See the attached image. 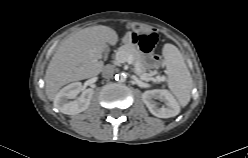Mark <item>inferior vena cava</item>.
I'll list each match as a JSON object with an SVG mask.
<instances>
[{
    "mask_svg": "<svg viewBox=\"0 0 248 158\" xmlns=\"http://www.w3.org/2000/svg\"><path fill=\"white\" fill-rule=\"evenodd\" d=\"M115 73V67L113 65H106L102 70V76L106 79L112 78Z\"/></svg>",
    "mask_w": 248,
    "mask_h": 158,
    "instance_id": "inferior-vena-cava-1",
    "label": "inferior vena cava"
}]
</instances>
